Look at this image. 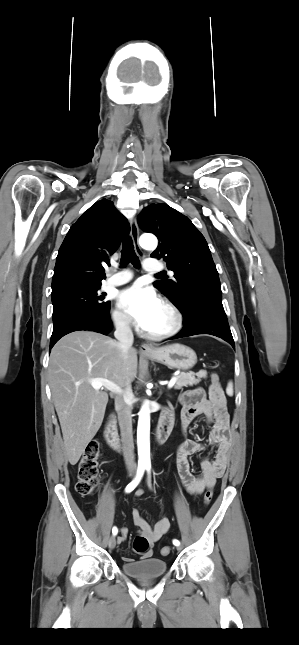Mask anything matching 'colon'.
Listing matches in <instances>:
<instances>
[{"mask_svg": "<svg viewBox=\"0 0 299 645\" xmlns=\"http://www.w3.org/2000/svg\"><path fill=\"white\" fill-rule=\"evenodd\" d=\"M211 389L218 391L221 389L220 380L217 373L213 372L211 374ZM98 457H99V445L96 441H91L81 456V459L78 464L77 472V483L76 491L82 496L91 495L99 482V471H98ZM213 497V492L211 489L206 490L204 494V503L206 505L210 504ZM149 548V543L147 539L141 535L135 537L133 541V550L142 554L145 553ZM171 551L169 546H165L161 549V554L167 556Z\"/></svg>", "mask_w": 299, "mask_h": 645, "instance_id": "obj_1", "label": "colon"}]
</instances>
